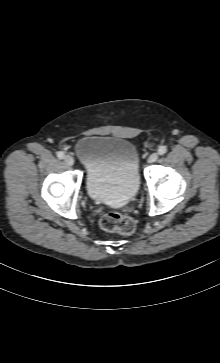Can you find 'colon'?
Returning <instances> with one entry per match:
<instances>
[{"label": "colon", "instance_id": "obj_1", "mask_svg": "<svg viewBox=\"0 0 220 363\" xmlns=\"http://www.w3.org/2000/svg\"><path fill=\"white\" fill-rule=\"evenodd\" d=\"M99 224L103 230L123 236H129L135 231L134 220L130 216L116 211H109L103 214Z\"/></svg>", "mask_w": 220, "mask_h": 363}]
</instances>
